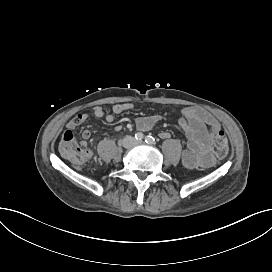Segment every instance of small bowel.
Here are the masks:
<instances>
[{"mask_svg":"<svg viewBox=\"0 0 272 272\" xmlns=\"http://www.w3.org/2000/svg\"><path fill=\"white\" fill-rule=\"evenodd\" d=\"M133 108L131 103H118L112 108L114 114H122ZM92 114L96 118H104L107 123L114 121L113 114H105L104 109L97 105L92 109ZM88 120L86 113H79L71 119L67 126L76 129L79 125L85 124ZM160 120L158 115H150L140 117L136 120L137 127L141 131H148ZM180 126L182 127L186 136V147L182 154V162L188 168H196L204 163L205 153L208 149L207 127H218L217 120L205 109L200 107H187L182 111L179 119ZM116 131L121 130V126L115 127ZM91 136V131L85 129L82 132V137L87 140ZM162 139L170 137V133L163 131L160 133Z\"/></svg>","mask_w":272,"mask_h":272,"instance_id":"obj_1","label":"small bowel"}]
</instances>
